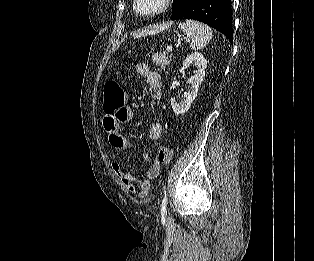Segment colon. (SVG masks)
<instances>
[{
  "mask_svg": "<svg viewBox=\"0 0 314 261\" xmlns=\"http://www.w3.org/2000/svg\"><path fill=\"white\" fill-rule=\"evenodd\" d=\"M124 91L116 81H108L104 86V110L118 109L124 105ZM172 150L165 146H159L157 149V161L160 164H167L172 158Z\"/></svg>",
  "mask_w": 314,
  "mask_h": 261,
  "instance_id": "obj_1",
  "label": "colon"
}]
</instances>
